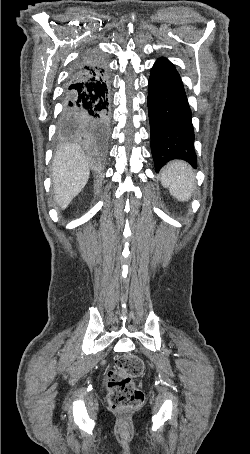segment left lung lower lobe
I'll use <instances>...</instances> for the list:
<instances>
[{
  "label": "left lung lower lobe",
  "instance_id": "1",
  "mask_svg": "<svg viewBox=\"0 0 250 454\" xmlns=\"http://www.w3.org/2000/svg\"><path fill=\"white\" fill-rule=\"evenodd\" d=\"M147 103L156 172L174 159L197 168L191 110L181 78L166 58H159L151 69Z\"/></svg>",
  "mask_w": 250,
  "mask_h": 454
}]
</instances>
